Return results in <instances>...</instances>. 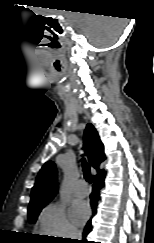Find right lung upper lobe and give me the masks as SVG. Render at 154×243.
Here are the masks:
<instances>
[{"mask_svg": "<svg viewBox=\"0 0 154 243\" xmlns=\"http://www.w3.org/2000/svg\"><path fill=\"white\" fill-rule=\"evenodd\" d=\"M84 148L90 162L98 174L104 172L99 165L105 160L104 146L92 124H88L84 133ZM57 171L54 162H46L38 173L31 192L29 208L46 204L51 201L57 192Z\"/></svg>", "mask_w": 154, "mask_h": 243, "instance_id": "right-lung-upper-lobe-1", "label": "right lung upper lobe"}]
</instances>
